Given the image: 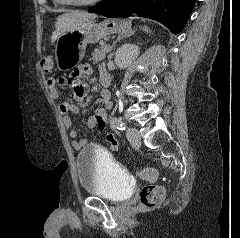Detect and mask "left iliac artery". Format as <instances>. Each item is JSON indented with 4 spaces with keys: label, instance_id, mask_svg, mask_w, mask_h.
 <instances>
[{
    "label": "left iliac artery",
    "instance_id": "obj_1",
    "mask_svg": "<svg viewBox=\"0 0 240 238\" xmlns=\"http://www.w3.org/2000/svg\"><path fill=\"white\" fill-rule=\"evenodd\" d=\"M112 124L119 130H125L126 129V125L124 122H122L120 119L118 118H113L112 119Z\"/></svg>",
    "mask_w": 240,
    "mask_h": 238
}]
</instances>
